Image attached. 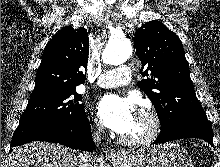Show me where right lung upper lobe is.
Listing matches in <instances>:
<instances>
[{"label":"right lung upper lobe","instance_id":"obj_1","mask_svg":"<svg viewBox=\"0 0 220 167\" xmlns=\"http://www.w3.org/2000/svg\"><path fill=\"white\" fill-rule=\"evenodd\" d=\"M89 40L84 28L63 27L47 43L35 78L31 98L76 87L85 80Z\"/></svg>","mask_w":220,"mask_h":167}]
</instances>
